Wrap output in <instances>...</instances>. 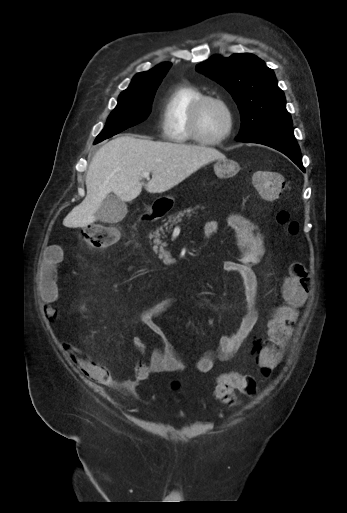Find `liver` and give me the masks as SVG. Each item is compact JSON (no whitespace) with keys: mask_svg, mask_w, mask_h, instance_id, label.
I'll return each instance as SVG.
<instances>
[{"mask_svg":"<svg viewBox=\"0 0 347 513\" xmlns=\"http://www.w3.org/2000/svg\"><path fill=\"white\" fill-rule=\"evenodd\" d=\"M215 148L155 142L135 136H120L104 144L93 157L86 175L87 195L64 218L63 225L83 228L96 221V212L113 192L130 202L142 191V174L152 173L145 189L163 193L181 183L203 165L225 159Z\"/></svg>","mask_w":347,"mask_h":513,"instance_id":"6515ba94","label":"liver"}]
</instances>
